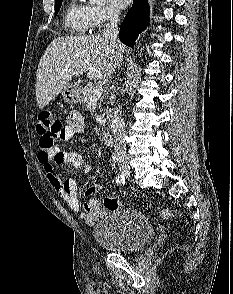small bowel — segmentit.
Returning a JSON list of instances; mask_svg holds the SVG:
<instances>
[{
  "instance_id": "1",
  "label": "small bowel",
  "mask_w": 233,
  "mask_h": 294,
  "mask_svg": "<svg viewBox=\"0 0 233 294\" xmlns=\"http://www.w3.org/2000/svg\"><path fill=\"white\" fill-rule=\"evenodd\" d=\"M63 128L64 132L60 136V140L62 141H68L75 134L82 133L85 130V123L82 115L77 111L69 112L68 121L63 122ZM39 161L43 166L50 186L70 209L81 213V217L87 224L93 225L103 216L104 211L100 200L89 198L81 205L78 198L76 181L72 178L62 180L59 176L58 167L64 164L75 168L84 166L85 171L90 169V164L85 163L81 153L74 151L62 152L58 148L53 147L52 149L41 150L39 153ZM101 190V184H94L87 188L85 194L90 197Z\"/></svg>"
}]
</instances>
